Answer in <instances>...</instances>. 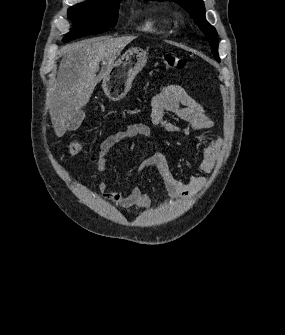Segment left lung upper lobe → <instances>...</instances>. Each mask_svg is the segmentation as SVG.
<instances>
[{"instance_id": "1", "label": "left lung upper lobe", "mask_w": 285, "mask_h": 335, "mask_svg": "<svg viewBox=\"0 0 285 335\" xmlns=\"http://www.w3.org/2000/svg\"><path fill=\"white\" fill-rule=\"evenodd\" d=\"M158 1H165V0H158ZM171 1L179 3L189 12L190 16L194 19L196 24H198L199 28L206 35L215 59L218 62H220L218 54L217 32L216 29L213 26H211L205 19V7L203 0H171Z\"/></svg>"}]
</instances>
